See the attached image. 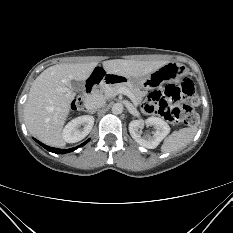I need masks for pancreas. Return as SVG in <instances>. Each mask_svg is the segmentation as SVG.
<instances>
[{
    "mask_svg": "<svg viewBox=\"0 0 233 233\" xmlns=\"http://www.w3.org/2000/svg\"><path fill=\"white\" fill-rule=\"evenodd\" d=\"M122 88L128 89L134 96L133 103L134 105H138L142 97L145 95V92L140 90L137 87H130L125 84H115V85H107L103 87L104 95L107 98L114 97L118 94V91Z\"/></svg>",
    "mask_w": 233,
    "mask_h": 233,
    "instance_id": "cf45deb5",
    "label": "pancreas"
}]
</instances>
